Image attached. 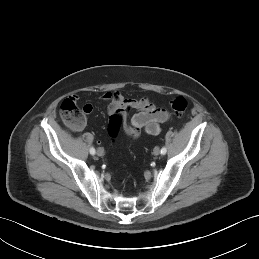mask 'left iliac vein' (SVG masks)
<instances>
[{
  "label": "left iliac vein",
  "instance_id": "obj_1",
  "mask_svg": "<svg viewBox=\"0 0 259 259\" xmlns=\"http://www.w3.org/2000/svg\"><path fill=\"white\" fill-rule=\"evenodd\" d=\"M153 154H154L155 156H158V155L160 154V149H159V147H155V148H154Z\"/></svg>",
  "mask_w": 259,
  "mask_h": 259
}]
</instances>
